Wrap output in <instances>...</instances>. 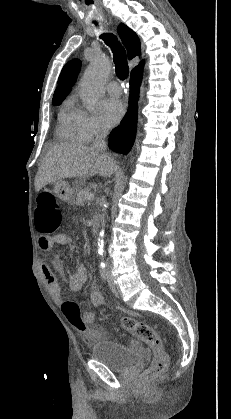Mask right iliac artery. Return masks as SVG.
<instances>
[{"mask_svg": "<svg viewBox=\"0 0 231 419\" xmlns=\"http://www.w3.org/2000/svg\"><path fill=\"white\" fill-rule=\"evenodd\" d=\"M100 275L102 277V279L106 280L107 279V270L104 264L100 265Z\"/></svg>", "mask_w": 231, "mask_h": 419, "instance_id": "obj_1", "label": "right iliac artery"}]
</instances>
